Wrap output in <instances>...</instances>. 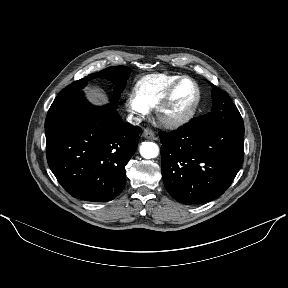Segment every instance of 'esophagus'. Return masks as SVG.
I'll return each mask as SVG.
<instances>
[{
  "label": "esophagus",
  "instance_id": "1",
  "mask_svg": "<svg viewBox=\"0 0 288 288\" xmlns=\"http://www.w3.org/2000/svg\"><path fill=\"white\" fill-rule=\"evenodd\" d=\"M142 136L147 139H154L155 133L151 128L144 129Z\"/></svg>",
  "mask_w": 288,
  "mask_h": 288
}]
</instances>
